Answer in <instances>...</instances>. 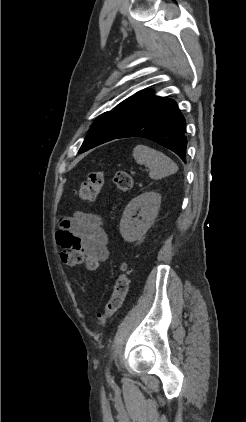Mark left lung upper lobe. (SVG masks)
<instances>
[{"label": "left lung upper lobe", "mask_w": 246, "mask_h": 422, "mask_svg": "<svg viewBox=\"0 0 246 422\" xmlns=\"http://www.w3.org/2000/svg\"><path fill=\"white\" fill-rule=\"evenodd\" d=\"M142 90L121 102L113 110L103 113L90 126L79 153L116 139L137 120L151 110L163 97Z\"/></svg>", "instance_id": "obj_1"}]
</instances>
